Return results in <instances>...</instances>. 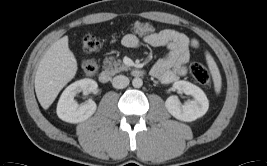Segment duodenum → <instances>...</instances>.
<instances>
[{
    "label": "duodenum",
    "instance_id": "1",
    "mask_svg": "<svg viewBox=\"0 0 267 166\" xmlns=\"http://www.w3.org/2000/svg\"><path fill=\"white\" fill-rule=\"evenodd\" d=\"M131 75L134 77H142L145 75V71L142 69H134L131 71ZM99 81L103 84H107L111 81L112 74L109 70H102L98 75Z\"/></svg>",
    "mask_w": 267,
    "mask_h": 166
}]
</instances>
